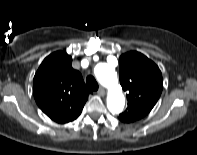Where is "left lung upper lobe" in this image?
<instances>
[{
	"label": "left lung upper lobe",
	"mask_w": 197,
	"mask_h": 155,
	"mask_svg": "<svg viewBox=\"0 0 197 155\" xmlns=\"http://www.w3.org/2000/svg\"><path fill=\"white\" fill-rule=\"evenodd\" d=\"M119 78L128 100V108L119 115V119L123 122H134L143 118L152 110L161 95V71L146 56L131 51L120 56Z\"/></svg>",
	"instance_id": "obj_1"
}]
</instances>
